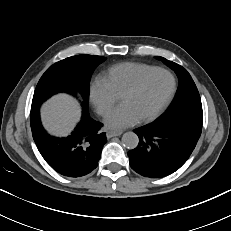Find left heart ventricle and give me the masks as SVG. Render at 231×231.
<instances>
[{"label": "left heart ventricle", "mask_w": 231, "mask_h": 231, "mask_svg": "<svg viewBox=\"0 0 231 231\" xmlns=\"http://www.w3.org/2000/svg\"><path fill=\"white\" fill-rule=\"evenodd\" d=\"M172 88V79L167 73L151 76L134 94L125 97L123 104L131 107L138 118L153 113L166 99Z\"/></svg>", "instance_id": "obj_1"}]
</instances>
